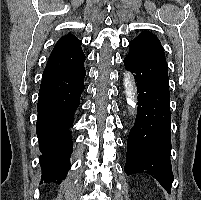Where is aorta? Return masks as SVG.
Listing matches in <instances>:
<instances>
[{
	"label": "aorta",
	"mask_w": 201,
	"mask_h": 200,
	"mask_svg": "<svg viewBox=\"0 0 201 200\" xmlns=\"http://www.w3.org/2000/svg\"><path fill=\"white\" fill-rule=\"evenodd\" d=\"M124 89L128 105L132 108L136 107V87L130 72H126L124 75Z\"/></svg>",
	"instance_id": "762f6f07"
}]
</instances>
